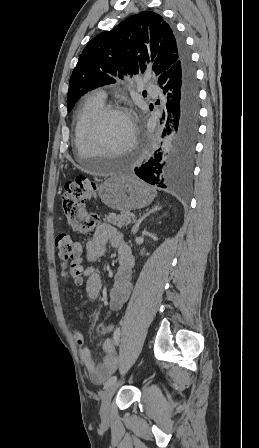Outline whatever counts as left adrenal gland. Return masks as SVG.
Returning a JSON list of instances; mask_svg holds the SVG:
<instances>
[{"label": "left adrenal gland", "mask_w": 259, "mask_h": 448, "mask_svg": "<svg viewBox=\"0 0 259 448\" xmlns=\"http://www.w3.org/2000/svg\"><path fill=\"white\" fill-rule=\"evenodd\" d=\"M157 210H161V208H159V206H155V208H153V210H150V212H148V214H144V216H141V218H139L138 222H136V224L132 230L133 234H136V232H138L141 222H143V220H145V218H147V216H149V214H152V212H157Z\"/></svg>", "instance_id": "1"}]
</instances>
